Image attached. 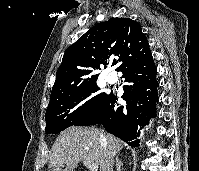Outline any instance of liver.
<instances>
[{"mask_svg": "<svg viewBox=\"0 0 199 171\" xmlns=\"http://www.w3.org/2000/svg\"><path fill=\"white\" fill-rule=\"evenodd\" d=\"M123 146L122 140L98 128L72 126L58 136L51 149L50 171H73L84 160L106 171L109 157H114Z\"/></svg>", "mask_w": 199, "mask_h": 171, "instance_id": "obj_1", "label": "liver"}]
</instances>
